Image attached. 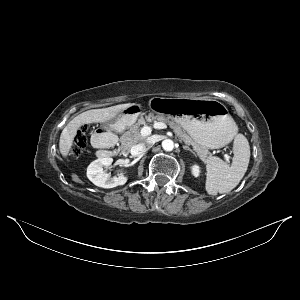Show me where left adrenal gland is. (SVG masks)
<instances>
[{
    "instance_id": "left-adrenal-gland-1",
    "label": "left adrenal gland",
    "mask_w": 300,
    "mask_h": 300,
    "mask_svg": "<svg viewBox=\"0 0 300 300\" xmlns=\"http://www.w3.org/2000/svg\"><path fill=\"white\" fill-rule=\"evenodd\" d=\"M183 149L184 150H188V151H190L191 153H193V155H195L196 156V153L189 147V146H187V145H183Z\"/></svg>"
}]
</instances>
